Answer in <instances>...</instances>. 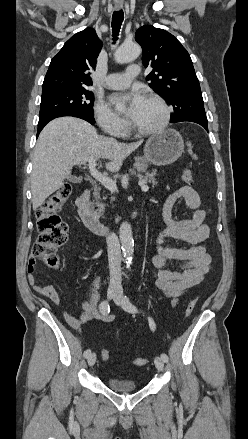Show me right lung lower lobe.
Instances as JSON below:
<instances>
[{"label": "right lung lower lobe", "instance_id": "obj_1", "mask_svg": "<svg viewBox=\"0 0 248 439\" xmlns=\"http://www.w3.org/2000/svg\"><path fill=\"white\" fill-rule=\"evenodd\" d=\"M63 116H73V117H77V118H81L83 120H86L87 122H89L90 124H94L95 123V119L94 116H89L87 114L84 113H77V112H62V113H58L43 119H39V123H38V131H37V137L39 135V133L41 132V130L43 129V127L50 122L51 120L58 118V117H63Z\"/></svg>", "mask_w": 248, "mask_h": 439}]
</instances>
